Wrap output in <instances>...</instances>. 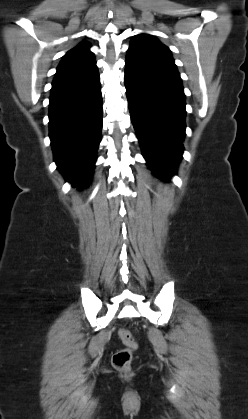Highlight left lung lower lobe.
<instances>
[{
	"label": "left lung lower lobe",
	"instance_id": "0a47b994",
	"mask_svg": "<svg viewBox=\"0 0 248 419\" xmlns=\"http://www.w3.org/2000/svg\"><path fill=\"white\" fill-rule=\"evenodd\" d=\"M125 87L131 120L149 168L176 173L185 137V94L176 66L127 51Z\"/></svg>",
	"mask_w": 248,
	"mask_h": 419
}]
</instances>
